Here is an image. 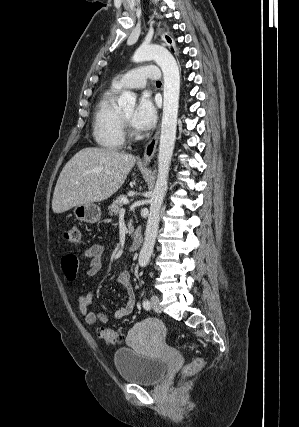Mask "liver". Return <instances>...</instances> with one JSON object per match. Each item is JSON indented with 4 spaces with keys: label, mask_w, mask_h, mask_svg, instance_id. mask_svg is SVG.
<instances>
[{
    "label": "liver",
    "mask_w": 299,
    "mask_h": 427,
    "mask_svg": "<svg viewBox=\"0 0 299 427\" xmlns=\"http://www.w3.org/2000/svg\"><path fill=\"white\" fill-rule=\"evenodd\" d=\"M135 162L133 155L117 150L83 148L60 173L53 194V212L59 214L108 199L122 186Z\"/></svg>",
    "instance_id": "obj_1"
}]
</instances>
